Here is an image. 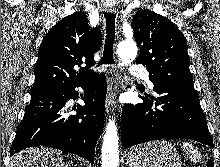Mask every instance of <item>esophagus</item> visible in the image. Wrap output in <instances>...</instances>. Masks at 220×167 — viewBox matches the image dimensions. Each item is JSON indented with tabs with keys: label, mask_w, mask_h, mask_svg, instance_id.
Instances as JSON below:
<instances>
[{
	"label": "esophagus",
	"mask_w": 220,
	"mask_h": 167,
	"mask_svg": "<svg viewBox=\"0 0 220 167\" xmlns=\"http://www.w3.org/2000/svg\"><path fill=\"white\" fill-rule=\"evenodd\" d=\"M116 8L113 5L106 6V11L109 13L115 12ZM106 75L108 79V91L106 96V112L109 113L111 107L115 105V98L118 91V73L113 64L106 67Z\"/></svg>",
	"instance_id": "34e87169"
}]
</instances>
